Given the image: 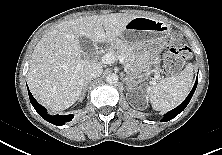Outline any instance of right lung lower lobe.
<instances>
[{"label": "right lung lower lobe", "instance_id": "obj_1", "mask_svg": "<svg viewBox=\"0 0 222 155\" xmlns=\"http://www.w3.org/2000/svg\"><path fill=\"white\" fill-rule=\"evenodd\" d=\"M28 93H29V98H30V102L33 105V107L35 108V110L37 111V113L44 118L46 121L54 124V125H63L64 123L71 121L73 119V115H66V116H61V115H49L46 111V109L40 105L32 96V94L30 93L29 89H28Z\"/></svg>", "mask_w": 222, "mask_h": 155}]
</instances>
